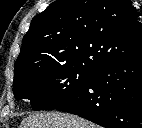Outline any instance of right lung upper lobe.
<instances>
[{
	"instance_id": "cb5924a9",
	"label": "right lung upper lobe",
	"mask_w": 142,
	"mask_h": 128,
	"mask_svg": "<svg viewBox=\"0 0 142 128\" xmlns=\"http://www.w3.org/2000/svg\"><path fill=\"white\" fill-rule=\"evenodd\" d=\"M139 24L128 0H57L32 19L15 78L68 65L94 72L134 57L142 51Z\"/></svg>"
}]
</instances>
